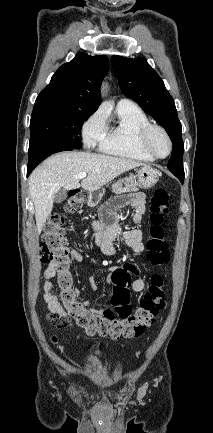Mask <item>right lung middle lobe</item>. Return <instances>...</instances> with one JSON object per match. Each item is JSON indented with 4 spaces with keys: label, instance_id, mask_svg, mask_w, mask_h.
<instances>
[{
    "label": "right lung middle lobe",
    "instance_id": "right-lung-middle-lobe-1",
    "mask_svg": "<svg viewBox=\"0 0 213 433\" xmlns=\"http://www.w3.org/2000/svg\"><path fill=\"white\" fill-rule=\"evenodd\" d=\"M95 110L66 103L35 101L30 120V145L39 141H56L80 149L84 121Z\"/></svg>",
    "mask_w": 213,
    "mask_h": 433
}]
</instances>
